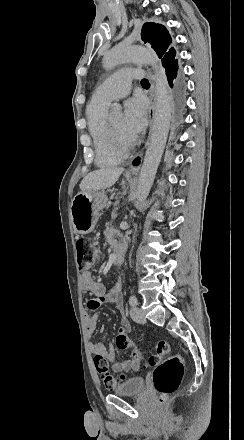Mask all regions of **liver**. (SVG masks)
Returning a JSON list of instances; mask_svg holds the SVG:
<instances>
[{"label":"liver","instance_id":"6515ba94","mask_svg":"<svg viewBox=\"0 0 244 440\" xmlns=\"http://www.w3.org/2000/svg\"><path fill=\"white\" fill-rule=\"evenodd\" d=\"M124 168H100L95 172H90L83 178L79 188L81 192H97L111 188L120 178Z\"/></svg>","mask_w":244,"mask_h":440}]
</instances>
